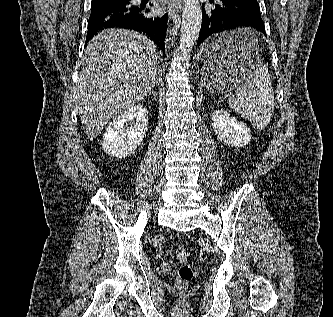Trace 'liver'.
<instances>
[{"label":"liver","instance_id":"6515ba94","mask_svg":"<svg viewBox=\"0 0 333 317\" xmlns=\"http://www.w3.org/2000/svg\"><path fill=\"white\" fill-rule=\"evenodd\" d=\"M157 47L130 30L107 29L88 43L75 91V106L88 139L149 94L155 85Z\"/></svg>","mask_w":333,"mask_h":317}]
</instances>
